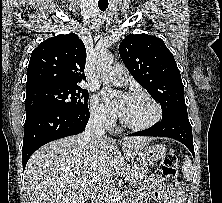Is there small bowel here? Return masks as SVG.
Masks as SVG:
<instances>
[{
	"mask_svg": "<svg viewBox=\"0 0 222 203\" xmlns=\"http://www.w3.org/2000/svg\"><path fill=\"white\" fill-rule=\"evenodd\" d=\"M150 194L153 203H183L185 191L181 185H171L160 177H152L147 187L139 196L138 203L143 202L145 193Z\"/></svg>",
	"mask_w": 222,
	"mask_h": 203,
	"instance_id": "obj_1",
	"label": "small bowel"
}]
</instances>
